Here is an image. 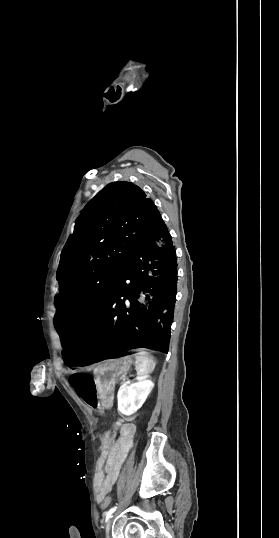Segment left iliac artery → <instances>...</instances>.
Wrapping results in <instances>:
<instances>
[{"label":"left iliac artery","mask_w":279,"mask_h":538,"mask_svg":"<svg viewBox=\"0 0 279 538\" xmlns=\"http://www.w3.org/2000/svg\"><path fill=\"white\" fill-rule=\"evenodd\" d=\"M116 506L112 507L108 512H106V521L111 517V515L115 512Z\"/></svg>","instance_id":"1"}]
</instances>
